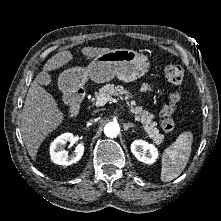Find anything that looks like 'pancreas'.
I'll return each mask as SVG.
<instances>
[{"mask_svg":"<svg viewBox=\"0 0 221 221\" xmlns=\"http://www.w3.org/2000/svg\"><path fill=\"white\" fill-rule=\"evenodd\" d=\"M118 97L120 99L127 100L126 105L130 110L131 114L135 115V120L142 123V127L145 132L148 134L149 138L153 140L154 143L159 144L163 141L164 135L159 133V130L156 128V123L153 122L154 116L148 111L143 110L141 106H136L135 101H128L132 94L124 89L123 86H115L113 84H106L95 93V101L101 97Z\"/></svg>","mask_w":221,"mask_h":221,"instance_id":"pancreas-1","label":"pancreas"}]
</instances>
